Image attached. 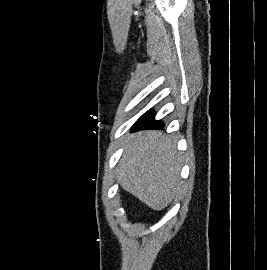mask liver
<instances>
[{
	"mask_svg": "<svg viewBox=\"0 0 267 270\" xmlns=\"http://www.w3.org/2000/svg\"><path fill=\"white\" fill-rule=\"evenodd\" d=\"M181 158L176 143L160 131H142L126 141L117 181L153 210L171 203L180 188Z\"/></svg>",
	"mask_w": 267,
	"mask_h": 270,
	"instance_id": "6515ba94",
	"label": "liver"
}]
</instances>
